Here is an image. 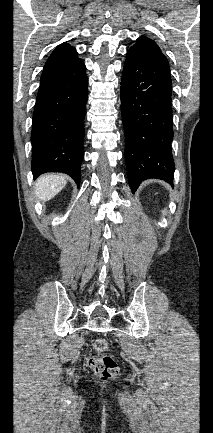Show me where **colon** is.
Returning a JSON list of instances; mask_svg holds the SVG:
<instances>
[{"mask_svg":"<svg viewBox=\"0 0 213 433\" xmlns=\"http://www.w3.org/2000/svg\"><path fill=\"white\" fill-rule=\"evenodd\" d=\"M94 354L87 358V366L101 379H109L117 371V364L109 355H103L109 349V342L106 339L99 338L93 344Z\"/></svg>","mask_w":213,"mask_h":433,"instance_id":"5ec220e1","label":"colon"}]
</instances>
